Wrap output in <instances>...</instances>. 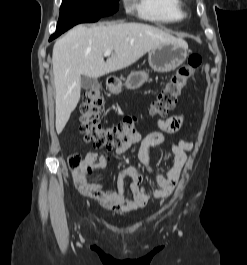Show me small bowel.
<instances>
[{
	"mask_svg": "<svg viewBox=\"0 0 247 265\" xmlns=\"http://www.w3.org/2000/svg\"><path fill=\"white\" fill-rule=\"evenodd\" d=\"M185 121L184 114H178L166 119H158L157 124L160 131L151 132L145 136L139 151V159L152 177L158 189L149 193L144 185V175L142 171L134 165H126L116 178L117 189L111 190L103 185L90 180L92 169H104L109 163L106 156L99 155L96 151H89L80 167L72 171V178L76 188L84 196L90 197L99 202L104 208L116 212H131L145 207L152 198L168 197L175 189L181 176L183 167L187 161V152L191 150L190 142L180 140L171 143V150L174 154L172 166L166 175L154 172L149 158L151 147L163 145L168 142L167 134H172L180 130ZM139 134L127 141L117 149V154L125 155L129 148L139 142ZM130 179L128 195L125 188V179Z\"/></svg>",
	"mask_w": 247,
	"mask_h": 265,
	"instance_id": "1",
	"label": "small bowel"
}]
</instances>
